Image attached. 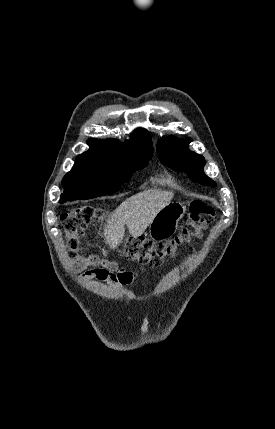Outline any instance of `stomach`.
<instances>
[{"mask_svg": "<svg viewBox=\"0 0 275 429\" xmlns=\"http://www.w3.org/2000/svg\"><path fill=\"white\" fill-rule=\"evenodd\" d=\"M186 212L184 202H172L161 209L149 225V236L151 239L160 241L174 235L178 222Z\"/></svg>", "mask_w": 275, "mask_h": 429, "instance_id": "0dacf381", "label": "stomach"}]
</instances>
